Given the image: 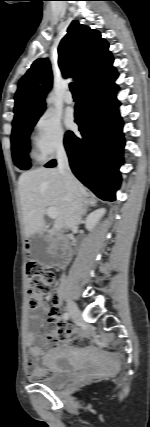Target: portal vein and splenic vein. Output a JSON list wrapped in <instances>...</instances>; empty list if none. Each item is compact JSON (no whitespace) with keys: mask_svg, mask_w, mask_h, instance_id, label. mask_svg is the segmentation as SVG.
Segmentation results:
<instances>
[{"mask_svg":"<svg viewBox=\"0 0 150 427\" xmlns=\"http://www.w3.org/2000/svg\"><path fill=\"white\" fill-rule=\"evenodd\" d=\"M46 213H47V214H48V216H49L50 218H52V219H56V217H57V215H58L57 209H56V208H54V207H48V208L46 209Z\"/></svg>","mask_w":150,"mask_h":427,"instance_id":"portal-vein-and-splenic-vein-1","label":"portal vein and splenic vein"}]
</instances>
